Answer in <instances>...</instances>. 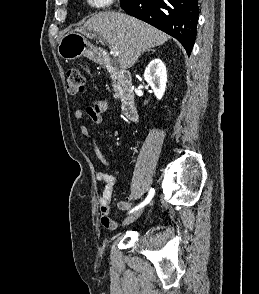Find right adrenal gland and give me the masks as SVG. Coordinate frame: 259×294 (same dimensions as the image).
<instances>
[{
    "mask_svg": "<svg viewBox=\"0 0 259 294\" xmlns=\"http://www.w3.org/2000/svg\"><path fill=\"white\" fill-rule=\"evenodd\" d=\"M149 51H151L152 53H154V52H155V49H149V50H146V51H144V52H149ZM144 52H142V54H143Z\"/></svg>",
    "mask_w": 259,
    "mask_h": 294,
    "instance_id": "1",
    "label": "right adrenal gland"
}]
</instances>
